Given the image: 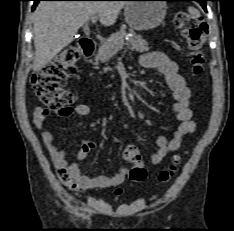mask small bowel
Wrapping results in <instances>:
<instances>
[{"label":"small bowel","mask_w":234,"mask_h":231,"mask_svg":"<svg viewBox=\"0 0 234 231\" xmlns=\"http://www.w3.org/2000/svg\"><path fill=\"white\" fill-rule=\"evenodd\" d=\"M140 64L144 68L156 69L163 75L175 100L172 105L173 115L179 121V126L170 140L163 136H159L156 140L157 150L152 156L151 162L159 164L167 155L175 153L181 148L182 139L185 135L196 131V123L189 106L191 92L184 78L178 73L177 64L164 53H146L141 57ZM90 113L91 109L86 104H77L73 108L58 112L63 117L70 115L84 117ZM49 115V109L37 107L34 111V125L41 134V138L56 168L60 183L69 191L75 193H83L86 190L94 188H115L114 195H121L123 192L121 186L126 180L128 169L126 167H119L111 175L93 176L83 173L77 161L84 160L96 148L97 142L95 140L82 142L75 156L77 161L68 162L65 150L55 143L53 133L47 126Z\"/></svg>","instance_id":"1"}]
</instances>
